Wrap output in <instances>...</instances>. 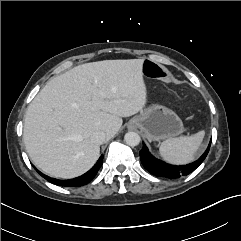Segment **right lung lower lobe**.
I'll return each instance as SVG.
<instances>
[{
	"label": "right lung lower lobe",
	"mask_w": 241,
	"mask_h": 241,
	"mask_svg": "<svg viewBox=\"0 0 241 241\" xmlns=\"http://www.w3.org/2000/svg\"><path fill=\"white\" fill-rule=\"evenodd\" d=\"M103 163V155H101V157L99 158V160L97 161V163L85 174H83L82 176H79L77 178L74 179H69V180H57L54 178H50L44 174H42L40 171L39 174H41L47 181L56 184V185H60V186H65V187H78V186H83L87 183H89L97 174L98 170L100 169L101 165Z\"/></svg>",
	"instance_id": "obj_1"
}]
</instances>
